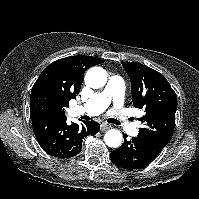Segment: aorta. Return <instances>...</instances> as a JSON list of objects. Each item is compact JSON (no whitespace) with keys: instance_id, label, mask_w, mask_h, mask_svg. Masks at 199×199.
Segmentation results:
<instances>
[{"instance_id":"aorta-1","label":"aorta","mask_w":199,"mask_h":199,"mask_svg":"<svg viewBox=\"0 0 199 199\" xmlns=\"http://www.w3.org/2000/svg\"><path fill=\"white\" fill-rule=\"evenodd\" d=\"M85 82L93 89H99L105 86L107 82L106 71L102 67L90 68L85 75ZM122 140V134L116 129L108 130L104 136L106 145L111 148L119 147L122 144Z\"/></svg>"}]
</instances>
